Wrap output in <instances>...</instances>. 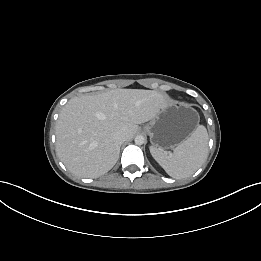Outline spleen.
Returning <instances> with one entry per match:
<instances>
[{"label": "spleen", "instance_id": "obj_1", "mask_svg": "<svg viewBox=\"0 0 261 261\" xmlns=\"http://www.w3.org/2000/svg\"><path fill=\"white\" fill-rule=\"evenodd\" d=\"M154 159L173 178H185L194 174L208 156V133L205 126H198L185 141L177 145L173 153L151 147Z\"/></svg>", "mask_w": 261, "mask_h": 261}]
</instances>
